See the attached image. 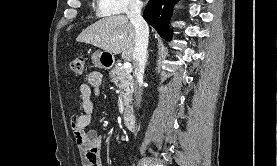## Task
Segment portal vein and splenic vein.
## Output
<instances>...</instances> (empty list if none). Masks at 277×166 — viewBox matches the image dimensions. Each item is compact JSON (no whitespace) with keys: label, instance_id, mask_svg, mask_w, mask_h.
Returning <instances> with one entry per match:
<instances>
[{"label":"portal vein and splenic vein","instance_id":"18ae733b","mask_svg":"<svg viewBox=\"0 0 277 166\" xmlns=\"http://www.w3.org/2000/svg\"><path fill=\"white\" fill-rule=\"evenodd\" d=\"M124 68L126 70H131V64L129 62L124 63Z\"/></svg>","mask_w":277,"mask_h":166}]
</instances>
